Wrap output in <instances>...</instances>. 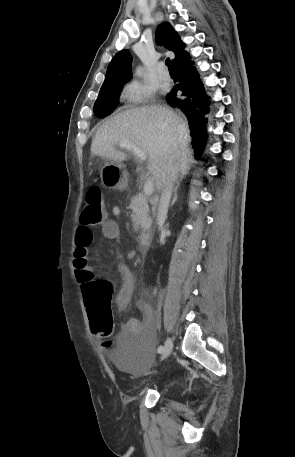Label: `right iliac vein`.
<instances>
[{"instance_id":"right-iliac-vein-1","label":"right iliac vein","mask_w":295,"mask_h":457,"mask_svg":"<svg viewBox=\"0 0 295 457\" xmlns=\"http://www.w3.org/2000/svg\"><path fill=\"white\" fill-rule=\"evenodd\" d=\"M172 348H173L172 339L171 338H167L166 343H165V345L163 347V351L161 352V357H160L161 361L166 359L170 355V353L172 351Z\"/></svg>"}]
</instances>
